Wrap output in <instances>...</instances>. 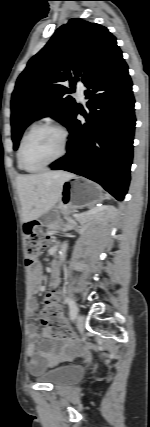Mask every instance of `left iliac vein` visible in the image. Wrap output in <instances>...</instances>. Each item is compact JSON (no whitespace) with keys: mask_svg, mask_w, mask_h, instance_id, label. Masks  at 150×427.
Returning <instances> with one entry per match:
<instances>
[{"mask_svg":"<svg viewBox=\"0 0 150 427\" xmlns=\"http://www.w3.org/2000/svg\"><path fill=\"white\" fill-rule=\"evenodd\" d=\"M76 325L80 332L84 330V317L81 314H78L76 317Z\"/></svg>","mask_w":150,"mask_h":427,"instance_id":"left-iliac-vein-1","label":"left iliac vein"}]
</instances>
